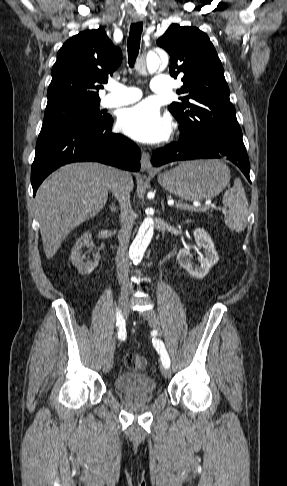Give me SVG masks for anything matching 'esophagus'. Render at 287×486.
<instances>
[{
	"label": "esophagus",
	"instance_id": "1",
	"mask_svg": "<svg viewBox=\"0 0 287 486\" xmlns=\"http://www.w3.org/2000/svg\"><path fill=\"white\" fill-rule=\"evenodd\" d=\"M143 20L142 17H134L133 21L134 22H141ZM141 169L146 172H152L154 171V168L150 162V156L149 153L142 150L141 154Z\"/></svg>",
	"mask_w": 287,
	"mask_h": 486
}]
</instances>
